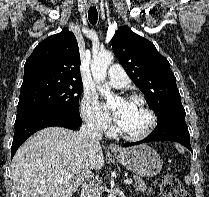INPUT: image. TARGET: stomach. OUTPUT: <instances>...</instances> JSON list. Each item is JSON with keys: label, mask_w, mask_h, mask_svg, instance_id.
Returning a JSON list of instances; mask_svg holds the SVG:
<instances>
[{"label": "stomach", "mask_w": 209, "mask_h": 197, "mask_svg": "<svg viewBox=\"0 0 209 197\" xmlns=\"http://www.w3.org/2000/svg\"><path fill=\"white\" fill-rule=\"evenodd\" d=\"M114 156L125 168L140 177H153L163 166L160 155L148 145L124 149Z\"/></svg>", "instance_id": "obj_1"}]
</instances>
